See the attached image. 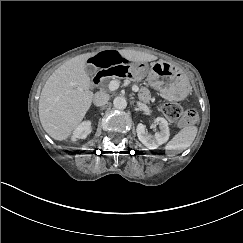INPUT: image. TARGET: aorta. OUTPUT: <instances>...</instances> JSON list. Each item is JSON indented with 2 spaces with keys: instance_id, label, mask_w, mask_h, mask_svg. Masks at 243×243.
Returning <instances> with one entry per match:
<instances>
[{
  "instance_id": "obj_1",
  "label": "aorta",
  "mask_w": 243,
  "mask_h": 243,
  "mask_svg": "<svg viewBox=\"0 0 243 243\" xmlns=\"http://www.w3.org/2000/svg\"><path fill=\"white\" fill-rule=\"evenodd\" d=\"M113 105H114L115 109H118V110L125 109L127 107L126 98L124 96L116 97L113 101Z\"/></svg>"
}]
</instances>
